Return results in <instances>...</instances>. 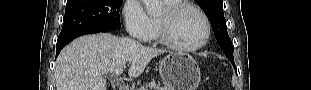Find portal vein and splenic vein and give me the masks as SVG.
<instances>
[{
  "label": "portal vein and splenic vein",
  "mask_w": 311,
  "mask_h": 90,
  "mask_svg": "<svg viewBox=\"0 0 311 90\" xmlns=\"http://www.w3.org/2000/svg\"><path fill=\"white\" fill-rule=\"evenodd\" d=\"M123 68H119V69H117L116 71H115V74L117 75V76H119V75H121L122 73H123Z\"/></svg>",
  "instance_id": "18ae733b"
}]
</instances>
